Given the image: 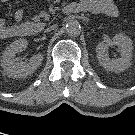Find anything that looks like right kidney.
Wrapping results in <instances>:
<instances>
[{
    "mask_svg": "<svg viewBox=\"0 0 135 135\" xmlns=\"http://www.w3.org/2000/svg\"><path fill=\"white\" fill-rule=\"evenodd\" d=\"M26 39H18L11 43L4 51L1 59V65L5 73L12 78H25L34 73L41 65L42 54H36L28 62H15V56L18 52L27 48Z\"/></svg>",
    "mask_w": 135,
    "mask_h": 135,
    "instance_id": "1",
    "label": "right kidney"
}]
</instances>
